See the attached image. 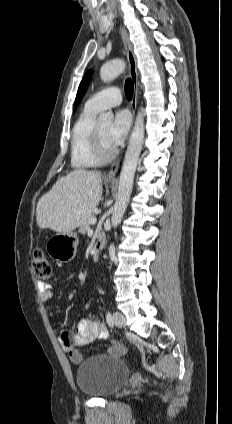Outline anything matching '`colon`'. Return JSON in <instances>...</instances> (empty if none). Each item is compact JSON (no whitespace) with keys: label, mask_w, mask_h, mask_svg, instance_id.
Instances as JSON below:
<instances>
[{"label":"colon","mask_w":232,"mask_h":424,"mask_svg":"<svg viewBox=\"0 0 232 424\" xmlns=\"http://www.w3.org/2000/svg\"><path fill=\"white\" fill-rule=\"evenodd\" d=\"M32 268L34 275L38 278L49 279L52 276V266L42 249H36L34 251ZM109 343H111V345L114 346V349L119 353H125L128 349L127 343H123V340L109 338Z\"/></svg>","instance_id":"1"}]
</instances>
